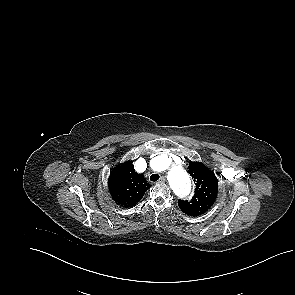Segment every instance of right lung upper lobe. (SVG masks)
<instances>
[{"label":"right lung upper lobe","instance_id":"right-lung-upper-lobe-1","mask_svg":"<svg viewBox=\"0 0 295 295\" xmlns=\"http://www.w3.org/2000/svg\"><path fill=\"white\" fill-rule=\"evenodd\" d=\"M112 199L125 207H132L141 200L150 185L134 170L132 161H127L115 167L108 180Z\"/></svg>","mask_w":295,"mask_h":295}]
</instances>
